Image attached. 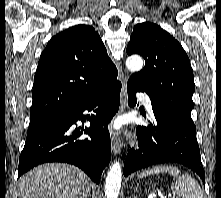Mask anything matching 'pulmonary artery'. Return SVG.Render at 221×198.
I'll list each match as a JSON object with an SVG mask.
<instances>
[{
	"mask_svg": "<svg viewBox=\"0 0 221 198\" xmlns=\"http://www.w3.org/2000/svg\"><path fill=\"white\" fill-rule=\"evenodd\" d=\"M138 98L143 101V103L145 104L147 110L149 112H152V102H151L150 97L148 95L144 94V93H139Z\"/></svg>",
	"mask_w": 221,
	"mask_h": 198,
	"instance_id": "1",
	"label": "pulmonary artery"
}]
</instances>
